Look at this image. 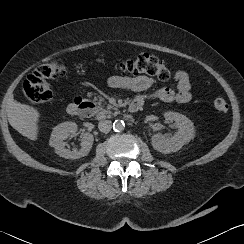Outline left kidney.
Instances as JSON below:
<instances>
[{
    "label": "left kidney",
    "instance_id": "1",
    "mask_svg": "<svg viewBox=\"0 0 244 244\" xmlns=\"http://www.w3.org/2000/svg\"><path fill=\"white\" fill-rule=\"evenodd\" d=\"M166 119L173 123L176 130L168 139L162 134H156L152 138V146L158 152L171 154L188 145L194 139L195 131L193 122L185 115L169 112Z\"/></svg>",
    "mask_w": 244,
    "mask_h": 244
}]
</instances>
